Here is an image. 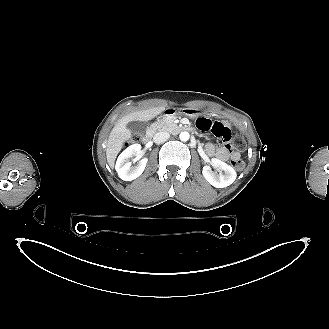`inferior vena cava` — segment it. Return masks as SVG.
I'll return each instance as SVG.
<instances>
[{"label":"inferior vena cava","instance_id":"inferior-vena-cava-1","mask_svg":"<svg viewBox=\"0 0 329 329\" xmlns=\"http://www.w3.org/2000/svg\"><path fill=\"white\" fill-rule=\"evenodd\" d=\"M169 137L170 134L168 132L160 131L154 135L153 140L156 144H160L164 143Z\"/></svg>","mask_w":329,"mask_h":329}]
</instances>
